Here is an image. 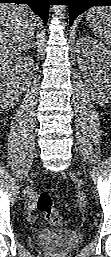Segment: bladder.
<instances>
[{"label":"bladder","instance_id":"1","mask_svg":"<svg viewBox=\"0 0 111 257\" xmlns=\"http://www.w3.org/2000/svg\"><path fill=\"white\" fill-rule=\"evenodd\" d=\"M82 240L80 233L69 230L44 231L36 237L37 244L50 256L68 254L75 250Z\"/></svg>","mask_w":111,"mask_h":257}]
</instances>
